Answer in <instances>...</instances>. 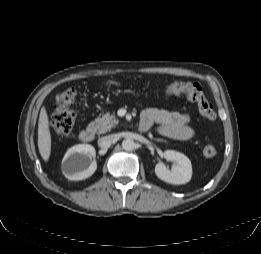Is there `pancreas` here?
Listing matches in <instances>:
<instances>
[{
    "instance_id": "1",
    "label": "pancreas",
    "mask_w": 261,
    "mask_h": 254,
    "mask_svg": "<svg viewBox=\"0 0 261 254\" xmlns=\"http://www.w3.org/2000/svg\"><path fill=\"white\" fill-rule=\"evenodd\" d=\"M119 121L114 114L106 113L102 117H98L95 121L89 124L97 134L106 133L108 130L115 128Z\"/></svg>"
}]
</instances>
